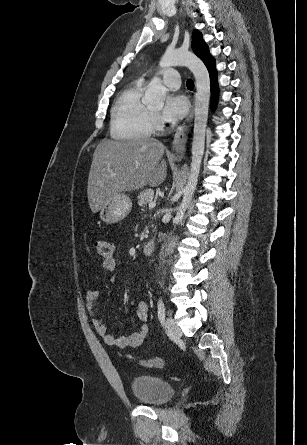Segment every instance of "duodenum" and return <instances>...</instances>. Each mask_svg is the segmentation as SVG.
<instances>
[{"instance_id": "1", "label": "duodenum", "mask_w": 307, "mask_h": 445, "mask_svg": "<svg viewBox=\"0 0 307 445\" xmlns=\"http://www.w3.org/2000/svg\"><path fill=\"white\" fill-rule=\"evenodd\" d=\"M154 249H155V241L151 239L144 244L142 251L144 255L150 256L154 252Z\"/></svg>"}]
</instances>
